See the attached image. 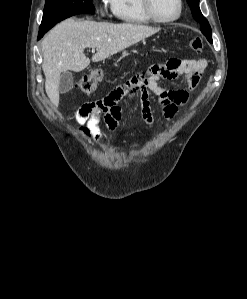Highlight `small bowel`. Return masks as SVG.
<instances>
[{
	"instance_id": "1",
	"label": "small bowel",
	"mask_w": 247,
	"mask_h": 299,
	"mask_svg": "<svg viewBox=\"0 0 247 299\" xmlns=\"http://www.w3.org/2000/svg\"><path fill=\"white\" fill-rule=\"evenodd\" d=\"M203 59L169 60L165 64L154 65L144 73H139L126 82L118 85L101 100L84 102L75 109V121L80 133L96 142L103 141V133L99 128L103 120L112 133L119 129L122 118L119 103L126 98L137 96L144 122L152 126L155 121L151 96L157 97V105L162 114L172 120L179 107L189 99V91L194 90L205 68ZM178 76L187 79L186 89L167 88L161 85L162 80H174Z\"/></svg>"
}]
</instances>
